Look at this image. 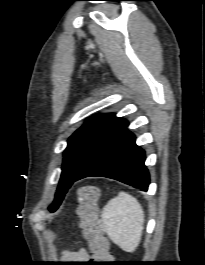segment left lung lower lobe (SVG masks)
I'll return each instance as SVG.
<instances>
[{
    "label": "left lung lower lobe",
    "instance_id": "0a47b994",
    "mask_svg": "<svg viewBox=\"0 0 205 265\" xmlns=\"http://www.w3.org/2000/svg\"><path fill=\"white\" fill-rule=\"evenodd\" d=\"M144 163V150L136 145L135 135L125 128L83 168L74 182L101 176L147 191L150 179Z\"/></svg>",
    "mask_w": 205,
    "mask_h": 265
}]
</instances>
